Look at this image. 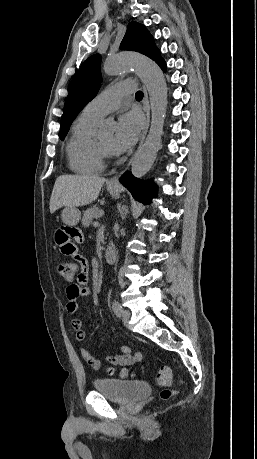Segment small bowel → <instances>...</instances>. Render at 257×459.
<instances>
[{
    "label": "small bowel",
    "mask_w": 257,
    "mask_h": 459,
    "mask_svg": "<svg viewBox=\"0 0 257 459\" xmlns=\"http://www.w3.org/2000/svg\"><path fill=\"white\" fill-rule=\"evenodd\" d=\"M55 233L54 242L60 248V254L68 264H81V273L75 283L66 288V313L72 316L71 327L76 333V339L79 342L86 341V333L82 328V321L73 317L78 309L80 299L87 298L90 295L88 286V256L81 249L79 244H86L87 237L84 234L83 227H74L73 223H58ZM121 354L106 357V361L113 365L127 366L139 362L142 359L141 352L132 353L128 346H120ZM80 353L84 361L95 369L102 366V362L94 357L91 352L82 347Z\"/></svg>",
    "instance_id": "obj_1"
}]
</instances>
